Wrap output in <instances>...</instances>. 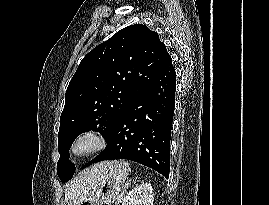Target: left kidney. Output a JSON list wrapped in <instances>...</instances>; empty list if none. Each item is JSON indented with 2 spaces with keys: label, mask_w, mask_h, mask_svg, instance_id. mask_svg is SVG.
<instances>
[{
  "label": "left kidney",
  "mask_w": 269,
  "mask_h": 205,
  "mask_svg": "<svg viewBox=\"0 0 269 205\" xmlns=\"http://www.w3.org/2000/svg\"><path fill=\"white\" fill-rule=\"evenodd\" d=\"M122 205H153L151 184L143 183L132 189L124 198Z\"/></svg>",
  "instance_id": "5707ae66"
}]
</instances>
